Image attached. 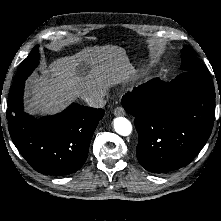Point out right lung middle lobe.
I'll return each mask as SVG.
<instances>
[{
  "label": "right lung middle lobe",
  "instance_id": "obj_1",
  "mask_svg": "<svg viewBox=\"0 0 221 221\" xmlns=\"http://www.w3.org/2000/svg\"><path fill=\"white\" fill-rule=\"evenodd\" d=\"M39 53L38 46H35L30 52L29 56L20 64L18 71L14 78V83L24 81L32 71L38 66Z\"/></svg>",
  "mask_w": 221,
  "mask_h": 221
}]
</instances>
